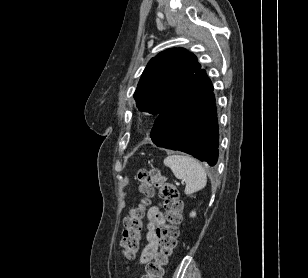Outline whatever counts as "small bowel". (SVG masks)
<instances>
[{
  "mask_svg": "<svg viewBox=\"0 0 308 278\" xmlns=\"http://www.w3.org/2000/svg\"><path fill=\"white\" fill-rule=\"evenodd\" d=\"M165 223V217L160 210L159 205L153 206L149 209L147 214V244L143 248L140 257V264H147L158 249V239L156 229Z\"/></svg>",
  "mask_w": 308,
  "mask_h": 278,
  "instance_id": "c3829d8e",
  "label": "small bowel"
}]
</instances>
